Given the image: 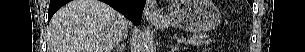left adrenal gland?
I'll return each mask as SVG.
<instances>
[{"label":"left adrenal gland","mask_w":305,"mask_h":52,"mask_svg":"<svg viewBox=\"0 0 305 52\" xmlns=\"http://www.w3.org/2000/svg\"><path fill=\"white\" fill-rule=\"evenodd\" d=\"M182 47L170 45L171 52H179Z\"/></svg>","instance_id":"a2214340"}]
</instances>
